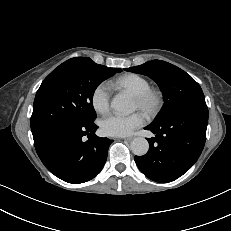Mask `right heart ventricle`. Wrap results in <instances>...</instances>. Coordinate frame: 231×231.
<instances>
[{"mask_svg": "<svg viewBox=\"0 0 231 231\" xmlns=\"http://www.w3.org/2000/svg\"><path fill=\"white\" fill-rule=\"evenodd\" d=\"M114 89L128 91L132 95L139 94L151 87L150 81L137 73L123 74L110 82Z\"/></svg>", "mask_w": 231, "mask_h": 231, "instance_id": "right-heart-ventricle-1", "label": "right heart ventricle"}]
</instances>
